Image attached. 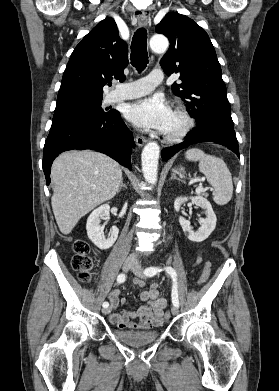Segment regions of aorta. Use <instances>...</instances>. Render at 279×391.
I'll use <instances>...</instances> for the list:
<instances>
[{"label":"aorta","instance_id":"obj_1","mask_svg":"<svg viewBox=\"0 0 279 391\" xmlns=\"http://www.w3.org/2000/svg\"><path fill=\"white\" fill-rule=\"evenodd\" d=\"M168 39L162 35H155L150 39V47L155 53H162L168 48ZM160 147L157 142H148L141 155L143 176L149 184L157 182L158 160Z\"/></svg>","mask_w":279,"mask_h":391}]
</instances>
